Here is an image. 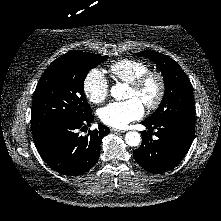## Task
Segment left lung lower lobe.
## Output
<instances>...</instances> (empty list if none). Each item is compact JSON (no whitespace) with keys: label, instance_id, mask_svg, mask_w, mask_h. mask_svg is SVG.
<instances>
[{"label":"left lung lower lobe","instance_id":"left-lung-lower-lobe-1","mask_svg":"<svg viewBox=\"0 0 221 221\" xmlns=\"http://www.w3.org/2000/svg\"><path fill=\"white\" fill-rule=\"evenodd\" d=\"M148 129L143 131L142 144L133 152L136 162L153 174L173 169L187 154L195 126L179 121H143ZM156 130L153 133V130ZM151 135L157 136L152 139Z\"/></svg>","mask_w":221,"mask_h":221}]
</instances>
